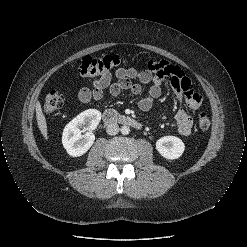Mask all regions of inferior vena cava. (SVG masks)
<instances>
[{
  "instance_id": "1",
  "label": "inferior vena cava",
  "mask_w": 247,
  "mask_h": 247,
  "mask_svg": "<svg viewBox=\"0 0 247 247\" xmlns=\"http://www.w3.org/2000/svg\"><path fill=\"white\" fill-rule=\"evenodd\" d=\"M106 132L109 135H116L119 132V126L117 123H110L106 128Z\"/></svg>"
}]
</instances>
